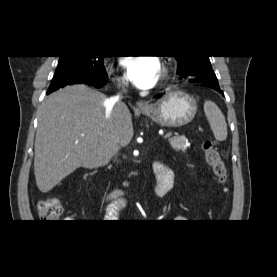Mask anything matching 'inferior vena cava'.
Returning <instances> with one entry per match:
<instances>
[{
    "mask_svg": "<svg viewBox=\"0 0 277 277\" xmlns=\"http://www.w3.org/2000/svg\"><path fill=\"white\" fill-rule=\"evenodd\" d=\"M125 92V88L123 87L120 92H118L116 95L111 97L110 99L106 100L105 102V115L107 119H110L111 112L113 110V107L116 105L118 107H123L125 104L121 101V98L123 96V93Z\"/></svg>",
    "mask_w": 277,
    "mask_h": 277,
    "instance_id": "602c4592",
    "label": "inferior vena cava"
}]
</instances>
